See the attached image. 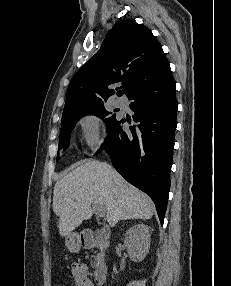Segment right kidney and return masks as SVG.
Wrapping results in <instances>:
<instances>
[{"mask_svg": "<svg viewBox=\"0 0 231 286\" xmlns=\"http://www.w3.org/2000/svg\"><path fill=\"white\" fill-rule=\"evenodd\" d=\"M150 229L145 224H138L126 231L124 244L131 260L142 261L150 247Z\"/></svg>", "mask_w": 231, "mask_h": 286, "instance_id": "obj_1", "label": "right kidney"}]
</instances>
